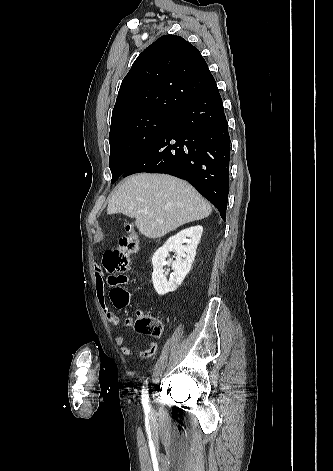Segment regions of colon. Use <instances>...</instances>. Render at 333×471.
Instances as JSON below:
<instances>
[{"mask_svg": "<svg viewBox=\"0 0 333 471\" xmlns=\"http://www.w3.org/2000/svg\"><path fill=\"white\" fill-rule=\"evenodd\" d=\"M125 229L127 236L119 241V245L105 252L103 257V265L110 273L109 283L112 286L110 292L111 300L117 308H124L129 303V293L124 289L129 281L127 272L130 266L131 257L134 256L139 249L138 235L132 223H126ZM135 328L138 332L159 338L163 332V324L161 320L155 316L137 313Z\"/></svg>", "mask_w": 333, "mask_h": 471, "instance_id": "5ec220e1", "label": "colon"}]
</instances>
